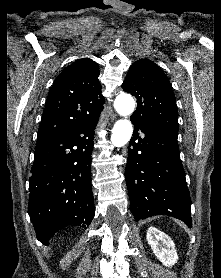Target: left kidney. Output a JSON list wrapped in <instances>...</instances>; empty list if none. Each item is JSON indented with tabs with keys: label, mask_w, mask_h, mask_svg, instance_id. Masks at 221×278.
<instances>
[{
	"label": "left kidney",
	"mask_w": 221,
	"mask_h": 278,
	"mask_svg": "<svg viewBox=\"0 0 221 278\" xmlns=\"http://www.w3.org/2000/svg\"><path fill=\"white\" fill-rule=\"evenodd\" d=\"M147 241L163 265L171 267L177 262L178 255L175 244L168 235L155 227H150L147 231Z\"/></svg>",
	"instance_id": "1"
}]
</instances>
